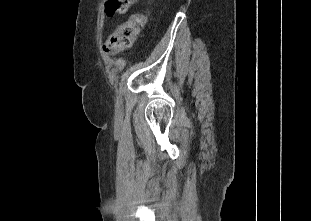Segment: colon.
Segmentation results:
<instances>
[{
	"label": "colon",
	"instance_id": "colon-1",
	"mask_svg": "<svg viewBox=\"0 0 311 221\" xmlns=\"http://www.w3.org/2000/svg\"><path fill=\"white\" fill-rule=\"evenodd\" d=\"M134 1L135 0H111L110 4L106 7V16L108 17L106 22H112L114 17H126L128 9L126 4H134ZM149 15V8L131 15L126 22L119 25L117 29L109 35L103 45V50L106 53L117 54L122 50L128 49L144 29Z\"/></svg>",
	"mask_w": 311,
	"mask_h": 221
}]
</instances>
